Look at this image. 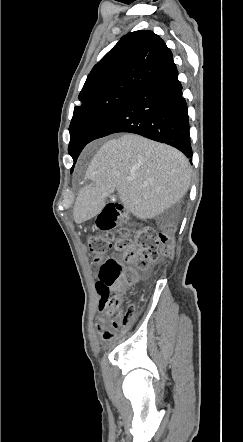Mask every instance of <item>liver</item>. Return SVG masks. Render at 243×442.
Returning a JSON list of instances; mask_svg holds the SVG:
<instances>
[{"mask_svg":"<svg viewBox=\"0 0 243 442\" xmlns=\"http://www.w3.org/2000/svg\"><path fill=\"white\" fill-rule=\"evenodd\" d=\"M191 171L186 156L171 146L134 134L110 139L100 147L86 171L85 178L94 185L79 191L74 221L80 224L98 215L107 195L116 189L134 216L152 219L186 194Z\"/></svg>","mask_w":243,"mask_h":442,"instance_id":"6515ba94","label":"liver"}]
</instances>
